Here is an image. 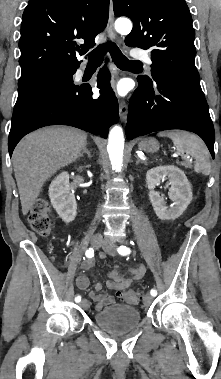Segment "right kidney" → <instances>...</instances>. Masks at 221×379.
Segmentation results:
<instances>
[{"instance_id": "ca27d5eb", "label": "right kidney", "mask_w": 221, "mask_h": 379, "mask_svg": "<svg viewBox=\"0 0 221 379\" xmlns=\"http://www.w3.org/2000/svg\"><path fill=\"white\" fill-rule=\"evenodd\" d=\"M81 169V168H80ZM49 198L59 217L66 223L72 222L77 214V203L69 184V174L60 173L50 184Z\"/></svg>"}]
</instances>
